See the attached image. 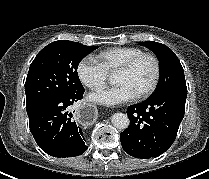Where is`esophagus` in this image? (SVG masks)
I'll return each instance as SVG.
<instances>
[{
	"instance_id": "obj_1",
	"label": "esophagus",
	"mask_w": 209,
	"mask_h": 179,
	"mask_svg": "<svg viewBox=\"0 0 209 179\" xmlns=\"http://www.w3.org/2000/svg\"><path fill=\"white\" fill-rule=\"evenodd\" d=\"M75 117L81 125L89 126L97 120L98 112L92 104H81L76 109Z\"/></svg>"
}]
</instances>
